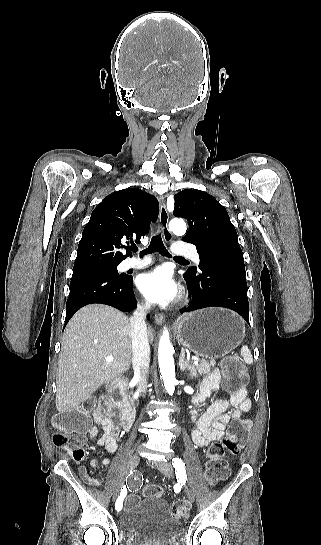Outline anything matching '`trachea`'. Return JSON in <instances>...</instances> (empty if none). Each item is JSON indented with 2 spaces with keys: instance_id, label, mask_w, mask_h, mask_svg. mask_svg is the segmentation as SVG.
<instances>
[{
  "instance_id": "obj_1",
  "label": "trachea",
  "mask_w": 321,
  "mask_h": 545,
  "mask_svg": "<svg viewBox=\"0 0 321 545\" xmlns=\"http://www.w3.org/2000/svg\"><path fill=\"white\" fill-rule=\"evenodd\" d=\"M130 250H132L133 252H136L138 251V248L136 245H132L130 247ZM153 252H158L160 253L162 256H166V257H169L171 258L172 256L169 254V252L166 250L163 242H162V238H161V234L158 233L156 234L155 236L152 237L151 239V242H150V245L147 249L143 250V251H140V257H143L145 254H149V253H153ZM175 261H186V259L184 257H173Z\"/></svg>"
}]
</instances>
